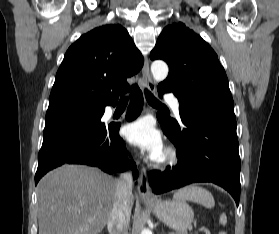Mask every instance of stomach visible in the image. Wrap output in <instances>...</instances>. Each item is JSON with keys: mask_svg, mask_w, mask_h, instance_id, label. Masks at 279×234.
Instances as JSON below:
<instances>
[{"mask_svg": "<svg viewBox=\"0 0 279 234\" xmlns=\"http://www.w3.org/2000/svg\"><path fill=\"white\" fill-rule=\"evenodd\" d=\"M144 203L152 209L158 219L179 234H183L194 219L192 208L183 200L144 201Z\"/></svg>", "mask_w": 279, "mask_h": 234, "instance_id": "obj_1", "label": "stomach"}]
</instances>
